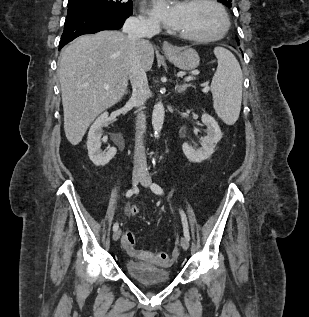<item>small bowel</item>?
I'll use <instances>...</instances> for the list:
<instances>
[{
  "mask_svg": "<svg viewBox=\"0 0 309 317\" xmlns=\"http://www.w3.org/2000/svg\"><path fill=\"white\" fill-rule=\"evenodd\" d=\"M128 211L131 213V208H129ZM127 250L132 255L136 254V250L133 247H127Z\"/></svg>",
  "mask_w": 309,
  "mask_h": 317,
  "instance_id": "obj_1",
  "label": "small bowel"
}]
</instances>
